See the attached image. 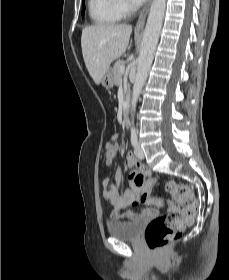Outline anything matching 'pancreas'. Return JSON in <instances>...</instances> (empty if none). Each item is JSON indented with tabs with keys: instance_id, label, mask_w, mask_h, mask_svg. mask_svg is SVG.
Instances as JSON below:
<instances>
[{
	"instance_id": "cf45deb5",
	"label": "pancreas",
	"mask_w": 229,
	"mask_h": 280,
	"mask_svg": "<svg viewBox=\"0 0 229 280\" xmlns=\"http://www.w3.org/2000/svg\"><path fill=\"white\" fill-rule=\"evenodd\" d=\"M122 66V61L118 60L113 66V73H114V84L117 85L121 81L122 74L120 73V67ZM129 87V86H128Z\"/></svg>"
}]
</instances>
